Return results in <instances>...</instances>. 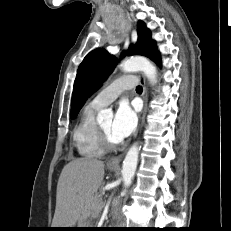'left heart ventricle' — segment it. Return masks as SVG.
<instances>
[{
	"mask_svg": "<svg viewBox=\"0 0 231 231\" xmlns=\"http://www.w3.org/2000/svg\"><path fill=\"white\" fill-rule=\"evenodd\" d=\"M112 120L106 121L104 123H102L100 125V127L102 128V130L105 132V134L107 135V137L112 141V142H117L113 136H112Z\"/></svg>",
	"mask_w": 231,
	"mask_h": 231,
	"instance_id": "left-heart-ventricle-1",
	"label": "left heart ventricle"
}]
</instances>
